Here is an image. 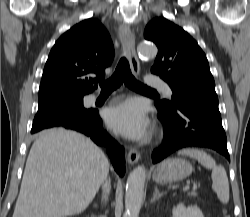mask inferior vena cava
Wrapping results in <instances>:
<instances>
[{"label": "inferior vena cava", "mask_w": 250, "mask_h": 217, "mask_svg": "<svg viewBox=\"0 0 250 217\" xmlns=\"http://www.w3.org/2000/svg\"><path fill=\"white\" fill-rule=\"evenodd\" d=\"M103 191L104 193H108L110 190V183L107 181V178H105V183L103 184ZM104 198L106 199V196H104Z\"/></svg>", "instance_id": "602c4592"}]
</instances>
